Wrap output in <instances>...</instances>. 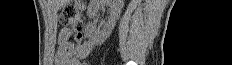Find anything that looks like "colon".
<instances>
[{
    "label": "colon",
    "mask_w": 232,
    "mask_h": 65,
    "mask_svg": "<svg viewBox=\"0 0 232 65\" xmlns=\"http://www.w3.org/2000/svg\"><path fill=\"white\" fill-rule=\"evenodd\" d=\"M59 22L64 29L80 30L82 16L76 7L67 5L61 11ZM80 37L81 35L78 33L77 38L80 39Z\"/></svg>",
    "instance_id": "obj_1"
}]
</instances>
